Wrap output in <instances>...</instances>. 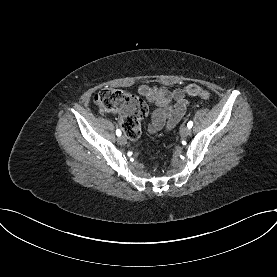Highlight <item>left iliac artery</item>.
<instances>
[{"label": "left iliac artery", "mask_w": 277, "mask_h": 277, "mask_svg": "<svg viewBox=\"0 0 277 277\" xmlns=\"http://www.w3.org/2000/svg\"><path fill=\"white\" fill-rule=\"evenodd\" d=\"M193 126V122L192 121H189L188 124H187V127L188 128H191Z\"/></svg>", "instance_id": "44dca946"}]
</instances>
